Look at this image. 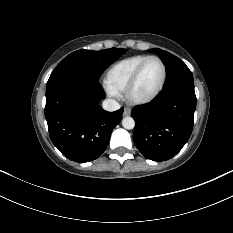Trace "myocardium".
I'll list each match as a JSON object with an SVG mask.
<instances>
[{
    "label": "myocardium",
    "mask_w": 233,
    "mask_h": 233,
    "mask_svg": "<svg viewBox=\"0 0 233 233\" xmlns=\"http://www.w3.org/2000/svg\"><path fill=\"white\" fill-rule=\"evenodd\" d=\"M150 60H157L160 62L161 66H162L163 75H162L161 83H160L159 87L151 95L144 97V98H136L133 96L134 87H135L136 83L138 82V79H139L145 65ZM166 80H167V66H166L165 62L159 56H155V55L148 56L146 59H144L139 64V66L134 71L133 75L131 76V78H130V80L125 88V91H124L125 99L129 104H132V105L148 104L159 96V94L162 92V90L165 87Z\"/></svg>",
    "instance_id": "obj_1"
}]
</instances>
